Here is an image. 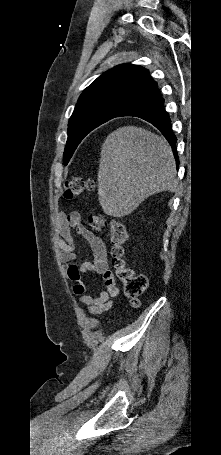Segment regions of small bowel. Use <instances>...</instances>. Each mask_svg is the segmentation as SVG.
I'll return each instance as SVG.
<instances>
[{"label":"small bowel","mask_w":221,"mask_h":455,"mask_svg":"<svg viewBox=\"0 0 221 455\" xmlns=\"http://www.w3.org/2000/svg\"><path fill=\"white\" fill-rule=\"evenodd\" d=\"M57 229L59 233V257L62 261L69 263L68 275L74 281L72 290L79 296V302L90 313H97L110 308L113 304L112 299L119 294V288L109 271L108 247L105 242L81 223L78 213H61L57 218ZM73 230L89 242L93 251L91 262L86 261L80 264L72 262L76 257L73 250ZM88 272L93 273L104 282L105 289L100 291L97 297L85 294L86 287L81 281L80 274Z\"/></svg>","instance_id":"obj_1"}]
</instances>
